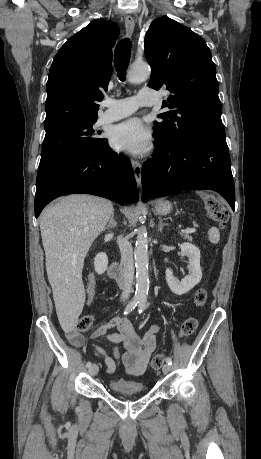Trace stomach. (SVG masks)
Wrapping results in <instances>:
<instances>
[{"label":"stomach","instance_id":"obj_1","mask_svg":"<svg viewBox=\"0 0 261 459\" xmlns=\"http://www.w3.org/2000/svg\"><path fill=\"white\" fill-rule=\"evenodd\" d=\"M155 210L160 215L169 214L172 210V204L169 201H161L155 205Z\"/></svg>","mask_w":261,"mask_h":459}]
</instances>
